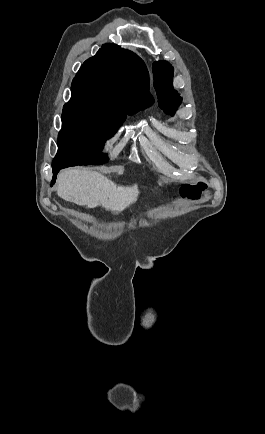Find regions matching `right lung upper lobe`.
Segmentation results:
<instances>
[{
  "mask_svg": "<svg viewBox=\"0 0 265 434\" xmlns=\"http://www.w3.org/2000/svg\"><path fill=\"white\" fill-rule=\"evenodd\" d=\"M94 89L107 98L144 108L153 104L144 62L133 52L107 43L84 62L72 81V89Z\"/></svg>",
  "mask_w": 265,
  "mask_h": 434,
  "instance_id": "cb5924a9",
  "label": "right lung upper lobe"
}]
</instances>
